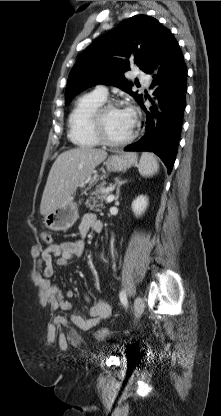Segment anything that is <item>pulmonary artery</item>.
Returning <instances> with one entry per match:
<instances>
[{
    "label": "pulmonary artery",
    "instance_id": "pulmonary-artery-1",
    "mask_svg": "<svg viewBox=\"0 0 221 416\" xmlns=\"http://www.w3.org/2000/svg\"><path fill=\"white\" fill-rule=\"evenodd\" d=\"M139 79L141 83H143L145 86H148L149 81L146 76H140ZM95 92L104 97H106L108 94L107 88L104 85H97L95 88Z\"/></svg>",
    "mask_w": 221,
    "mask_h": 416
}]
</instances>
